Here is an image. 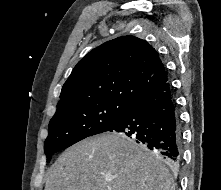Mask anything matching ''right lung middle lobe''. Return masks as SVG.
<instances>
[{
    "label": "right lung middle lobe",
    "instance_id": "obj_1",
    "mask_svg": "<svg viewBox=\"0 0 221 190\" xmlns=\"http://www.w3.org/2000/svg\"><path fill=\"white\" fill-rule=\"evenodd\" d=\"M129 103L105 99L72 104L56 110L44 144L47 162L52 154L74 143L111 130L123 117Z\"/></svg>",
    "mask_w": 221,
    "mask_h": 190
}]
</instances>
